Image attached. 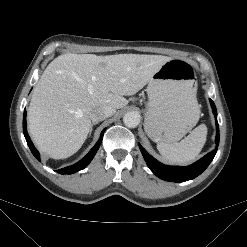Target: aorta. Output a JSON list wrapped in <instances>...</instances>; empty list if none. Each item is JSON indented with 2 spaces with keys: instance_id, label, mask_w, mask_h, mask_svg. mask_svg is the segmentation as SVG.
Wrapping results in <instances>:
<instances>
[{
  "instance_id": "aorta-1",
  "label": "aorta",
  "mask_w": 247,
  "mask_h": 247,
  "mask_svg": "<svg viewBox=\"0 0 247 247\" xmlns=\"http://www.w3.org/2000/svg\"><path fill=\"white\" fill-rule=\"evenodd\" d=\"M123 122L128 128H135L140 123V115L137 112H127L123 117Z\"/></svg>"
}]
</instances>
